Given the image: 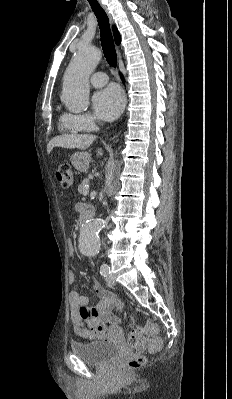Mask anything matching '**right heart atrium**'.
Segmentation results:
<instances>
[{"instance_id":"d8ad5b80","label":"right heart atrium","mask_w":232,"mask_h":399,"mask_svg":"<svg viewBox=\"0 0 232 399\" xmlns=\"http://www.w3.org/2000/svg\"><path fill=\"white\" fill-rule=\"evenodd\" d=\"M66 104H78V103H66ZM74 118L83 128L86 130H92L95 125L94 117L89 113L79 114V115H69Z\"/></svg>"}]
</instances>
